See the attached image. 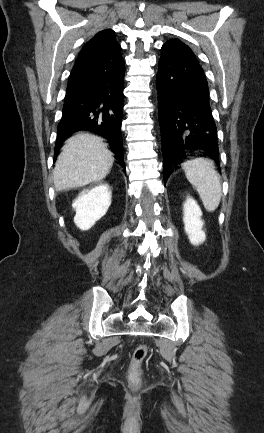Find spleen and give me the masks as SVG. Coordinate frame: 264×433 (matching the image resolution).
I'll list each match as a JSON object with an SVG mask.
<instances>
[{
	"label": "spleen",
	"instance_id": "1",
	"mask_svg": "<svg viewBox=\"0 0 264 433\" xmlns=\"http://www.w3.org/2000/svg\"><path fill=\"white\" fill-rule=\"evenodd\" d=\"M183 170L188 181L196 188L208 212H213L221 201L222 188L220 176L213 161L196 158L183 163Z\"/></svg>",
	"mask_w": 264,
	"mask_h": 433
}]
</instances>
